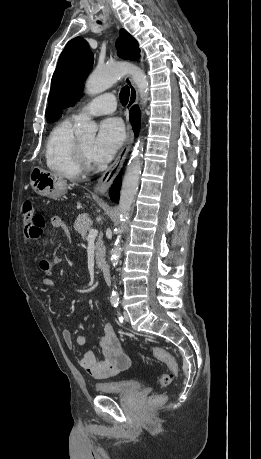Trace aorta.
I'll return each instance as SVG.
<instances>
[{
    "label": "aorta",
    "instance_id": "aorta-1",
    "mask_svg": "<svg viewBox=\"0 0 261 459\" xmlns=\"http://www.w3.org/2000/svg\"><path fill=\"white\" fill-rule=\"evenodd\" d=\"M126 74L131 75L133 82L138 88L142 102L145 103L149 92V82L144 72L137 66L130 63H116L104 68H97L86 81L85 91L91 96L100 94L113 86ZM96 131V123L86 116L81 117L75 127V135L77 137L94 138ZM142 156L143 142L138 140L128 162L122 182L119 202L121 226L117 229L118 236L111 251V263L113 266L117 265L121 256V234L124 231V224L130 217L132 205L138 191L143 164ZM112 298H118V293L116 291L112 292Z\"/></svg>",
    "mask_w": 261,
    "mask_h": 459
}]
</instances>
